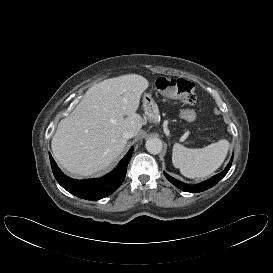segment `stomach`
Here are the masks:
<instances>
[{"label": "stomach", "instance_id": "0dacf381", "mask_svg": "<svg viewBox=\"0 0 273 273\" xmlns=\"http://www.w3.org/2000/svg\"><path fill=\"white\" fill-rule=\"evenodd\" d=\"M154 86L160 93L168 94L174 86V80L165 76H159L155 79ZM142 101L145 115L150 121L158 123L160 121L159 109L151 94H144Z\"/></svg>", "mask_w": 273, "mask_h": 273}]
</instances>
